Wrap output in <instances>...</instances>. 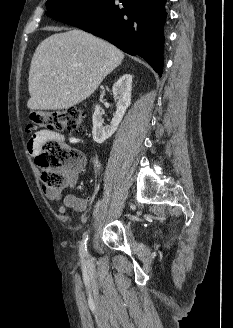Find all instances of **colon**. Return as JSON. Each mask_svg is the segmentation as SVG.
I'll return each mask as SVG.
<instances>
[{"label":"colon","mask_w":233,"mask_h":328,"mask_svg":"<svg viewBox=\"0 0 233 328\" xmlns=\"http://www.w3.org/2000/svg\"><path fill=\"white\" fill-rule=\"evenodd\" d=\"M31 129L43 127L49 131L69 130L81 132L84 126L85 113L81 108L66 110L31 111L29 114ZM41 169V180L46 188L59 189L74 179L83 163L82 153L56 139L45 141L35 158Z\"/></svg>","instance_id":"1"}]
</instances>
